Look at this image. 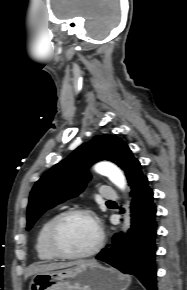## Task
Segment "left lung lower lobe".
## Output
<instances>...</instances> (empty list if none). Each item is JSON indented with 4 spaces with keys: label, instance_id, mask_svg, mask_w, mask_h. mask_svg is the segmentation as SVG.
I'll list each match as a JSON object with an SVG mask.
<instances>
[{
    "label": "left lung lower lobe",
    "instance_id": "0a47b994",
    "mask_svg": "<svg viewBox=\"0 0 187 290\" xmlns=\"http://www.w3.org/2000/svg\"><path fill=\"white\" fill-rule=\"evenodd\" d=\"M131 195L130 230L127 235H115L111 246L104 248L96 258L136 276L147 290H157V210L145 175L133 183Z\"/></svg>",
    "mask_w": 187,
    "mask_h": 290
}]
</instances>
